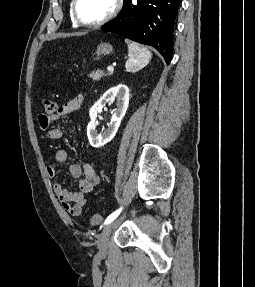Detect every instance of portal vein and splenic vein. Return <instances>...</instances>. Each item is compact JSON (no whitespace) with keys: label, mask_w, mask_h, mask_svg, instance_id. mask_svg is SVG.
Returning <instances> with one entry per match:
<instances>
[{"label":"portal vein and splenic vein","mask_w":255,"mask_h":287,"mask_svg":"<svg viewBox=\"0 0 255 287\" xmlns=\"http://www.w3.org/2000/svg\"><path fill=\"white\" fill-rule=\"evenodd\" d=\"M107 70H108V72H114L113 66H108Z\"/></svg>","instance_id":"1"}]
</instances>
